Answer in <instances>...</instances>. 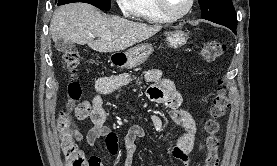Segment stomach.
Instances as JSON below:
<instances>
[{"label":"stomach","mask_w":277,"mask_h":166,"mask_svg":"<svg viewBox=\"0 0 277 166\" xmlns=\"http://www.w3.org/2000/svg\"><path fill=\"white\" fill-rule=\"evenodd\" d=\"M188 35L181 30L167 33L166 43L173 48L180 47L187 42ZM153 53L151 44H139L124 52H115L110 57L112 65L131 69L144 63Z\"/></svg>","instance_id":"stomach-1"}]
</instances>
